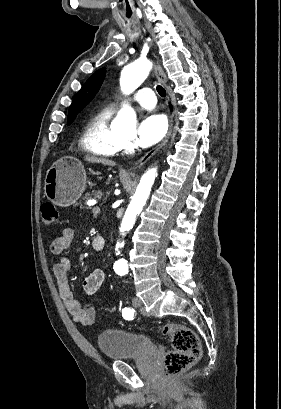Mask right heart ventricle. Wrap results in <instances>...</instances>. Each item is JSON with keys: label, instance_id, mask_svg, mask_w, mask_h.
<instances>
[{"label": "right heart ventricle", "instance_id": "1", "mask_svg": "<svg viewBox=\"0 0 281 409\" xmlns=\"http://www.w3.org/2000/svg\"><path fill=\"white\" fill-rule=\"evenodd\" d=\"M113 111L103 109L95 113L88 121L85 129L87 150L99 158H107L118 152L114 130L110 125Z\"/></svg>", "mask_w": 281, "mask_h": 409}]
</instances>
